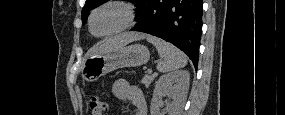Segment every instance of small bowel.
<instances>
[{
  "label": "small bowel",
  "instance_id": "c3829d8e",
  "mask_svg": "<svg viewBox=\"0 0 285 115\" xmlns=\"http://www.w3.org/2000/svg\"><path fill=\"white\" fill-rule=\"evenodd\" d=\"M113 94L135 107V115H147V103L143 92L125 79H116L112 84Z\"/></svg>",
  "mask_w": 285,
  "mask_h": 115
}]
</instances>
